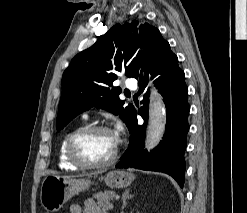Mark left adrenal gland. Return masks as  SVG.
Masks as SVG:
<instances>
[{"label":"left adrenal gland","mask_w":247,"mask_h":213,"mask_svg":"<svg viewBox=\"0 0 247 213\" xmlns=\"http://www.w3.org/2000/svg\"><path fill=\"white\" fill-rule=\"evenodd\" d=\"M129 191H130V189L126 190V191L123 193V195H122L123 208H125L126 205H127L126 200L133 197V195H129Z\"/></svg>","instance_id":"a2214340"}]
</instances>
